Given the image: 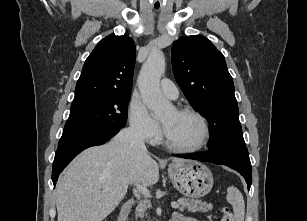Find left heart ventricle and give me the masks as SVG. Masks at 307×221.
Masks as SVG:
<instances>
[{"instance_id":"obj_1","label":"left heart ventricle","mask_w":307,"mask_h":221,"mask_svg":"<svg viewBox=\"0 0 307 221\" xmlns=\"http://www.w3.org/2000/svg\"><path fill=\"white\" fill-rule=\"evenodd\" d=\"M169 141L180 147L193 146L202 136V127L197 118L172 110L162 118Z\"/></svg>"}]
</instances>
